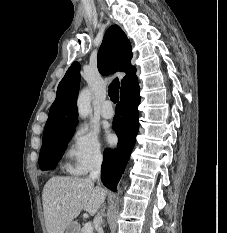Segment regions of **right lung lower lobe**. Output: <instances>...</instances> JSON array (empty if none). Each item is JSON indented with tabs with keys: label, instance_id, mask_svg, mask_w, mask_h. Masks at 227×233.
I'll list each match as a JSON object with an SVG mask.
<instances>
[{
	"label": "right lung lower lobe",
	"instance_id": "98d812e1",
	"mask_svg": "<svg viewBox=\"0 0 227 233\" xmlns=\"http://www.w3.org/2000/svg\"><path fill=\"white\" fill-rule=\"evenodd\" d=\"M139 89L138 85L121 96L113 119V129L119 138L118 145L115 149L108 148L104 151L101 179L103 184L112 191H117V183L136 142L139 129L137 109L140 102Z\"/></svg>",
	"mask_w": 227,
	"mask_h": 233
}]
</instances>
